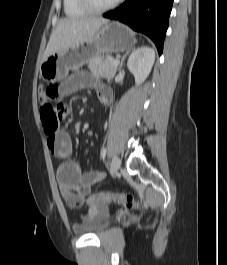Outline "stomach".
<instances>
[{"label":"stomach","mask_w":227,"mask_h":265,"mask_svg":"<svg viewBox=\"0 0 227 265\" xmlns=\"http://www.w3.org/2000/svg\"><path fill=\"white\" fill-rule=\"evenodd\" d=\"M134 44V34L128 27L119 22L107 23L90 41L50 55L42 62L40 75L49 82L59 81L95 57L129 50Z\"/></svg>","instance_id":"obj_1"}]
</instances>
